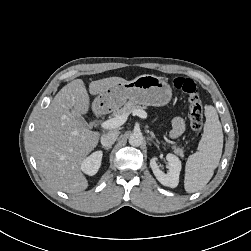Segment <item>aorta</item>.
I'll use <instances>...</instances> for the list:
<instances>
[{
	"instance_id": "1",
	"label": "aorta",
	"mask_w": 251,
	"mask_h": 251,
	"mask_svg": "<svg viewBox=\"0 0 251 251\" xmlns=\"http://www.w3.org/2000/svg\"><path fill=\"white\" fill-rule=\"evenodd\" d=\"M143 135L141 132H133L129 137V144L138 147L143 143Z\"/></svg>"
}]
</instances>
